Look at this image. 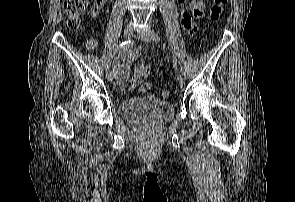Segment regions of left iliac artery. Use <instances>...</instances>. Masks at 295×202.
Wrapping results in <instances>:
<instances>
[{
    "label": "left iliac artery",
    "mask_w": 295,
    "mask_h": 202,
    "mask_svg": "<svg viewBox=\"0 0 295 202\" xmlns=\"http://www.w3.org/2000/svg\"><path fill=\"white\" fill-rule=\"evenodd\" d=\"M151 37L154 41H160V37L154 31H151ZM180 71L183 75H186V70L183 66L180 67Z\"/></svg>",
    "instance_id": "44dca946"
}]
</instances>
